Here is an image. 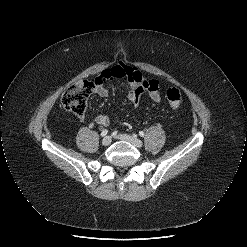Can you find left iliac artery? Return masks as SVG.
<instances>
[{
  "label": "left iliac artery",
  "mask_w": 247,
  "mask_h": 247,
  "mask_svg": "<svg viewBox=\"0 0 247 247\" xmlns=\"http://www.w3.org/2000/svg\"><path fill=\"white\" fill-rule=\"evenodd\" d=\"M139 135H140L141 137H144L145 134H144L143 131H140V132H139Z\"/></svg>",
  "instance_id": "1"
}]
</instances>
